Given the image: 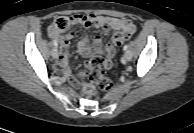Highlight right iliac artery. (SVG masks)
Segmentation results:
<instances>
[{
	"mask_svg": "<svg viewBox=\"0 0 194 133\" xmlns=\"http://www.w3.org/2000/svg\"><path fill=\"white\" fill-rule=\"evenodd\" d=\"M53 45L57 48V46H58V43H57V41L54 39L53 40Z\"/></svg>",
	"mask_w": 194,
	"mask_h": 133,
	"instance_id": "82829eb1",
	"label": "right iliac artery"
}]
</instances>
